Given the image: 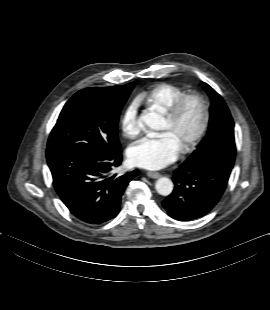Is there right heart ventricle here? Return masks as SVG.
<instances>
[{"mask_svg": "<svg viewBox=\"0 0 270 310\" xmlns=\"http://www.w3.org/2000/svg\"><path fill=\"white\" fill-rule=\"evenodd\" d=\"M185 94L180 87L170 83H161L142 92L139 100L165 113L181 95Z\"/></svg>", "mask_w": 270, "mask_h": 310, "instance_id": "right-heart-ventricle-1", "label": "right heart ventricle"}]
</instances>
